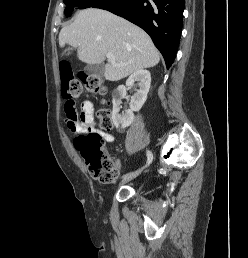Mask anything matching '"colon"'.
<instances>
[{
	"instance_id": "colon-1",
	"label": "colon",
	"mask_w": 248,
	"mask_h": 258,
	"mask_svg": "<svg viewBox=\"0 0 248 258\" xmlns=\"http://www.w3.org/2000/svg\"><path fill=\"white\" fill-rule=\"evenodd\" d=\"M63 95L66 100L64 110L75 111L76 100L81 94L82 85L94 95H105L106 88L100 77L88 74H79L77 79L72 76L71 68L67 63L60 65ZM100 127L104 131L113 128L111 111L104 106L98 111ZM75 132L74 130H70ZM74 146L81 154L92 175L101 183H112L118 176V169L114 161L103 150V138L98 132L87 131L74 138ZM134 164L133 162L131 163Z\"/></svg>"
}]
</instances>
